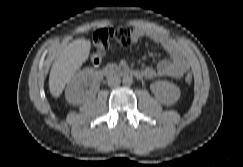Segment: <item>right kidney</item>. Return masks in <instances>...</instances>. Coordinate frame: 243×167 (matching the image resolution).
I'll use <instances>...</instances> for the list:
<instances>
[{
  "label": "right kidney",
  "instance_id": "right-kidney-1",
  "mask_svg": "<svg viewBox=\"0 0 243 167\" xmlns=\"http://www.w3.org/2000/svg\"><path fill=\"white\" fill-rule=\"evenodd\" d=\"M102 73L92 68H86L77 73L67 84L66 100L72 105H79L88 100L99 89Z\"/></svg>",
  "mask_w": 243,
  "mask_h": 167
}]
</instances>
